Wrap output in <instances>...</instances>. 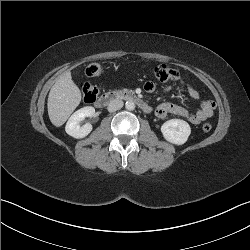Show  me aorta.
<instances>
[{
    "instance_id": "aorta-1",
    "label": "aorta",
    "mask_w": 250,
    "mask_h": 250,
    "mask_svg": "<svg viewBox=\"0 0 250 250\" xmlns=\"http://www.w3.org/2000/svg\"><path fill=\"white\" fill-rule=\"evenodd\" d=\"M126 109L129 110V111H132L135 109V104L133 101L129 100L126 102V105H125Z\"/></svg>"
}]
</instances>
